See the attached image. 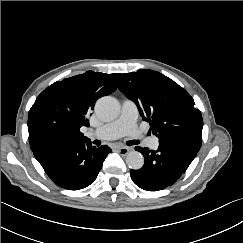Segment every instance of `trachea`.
Segmentation results:
<instances>
[{
    "label": "trachea",
    "instance_id": "obj_1",
    "mask_svg": "<svg viewBox=\"0 0 243 243\" xmlns=\"http://www.w3.org/2000/svg\"><path fill=\"white\" fill-rule=\"evenodd\" d=\"M137 144H139L138 140H130V141H128V145H137Z\"/></svg>",
    "mask_w": 243,
    "mask_h": 243
}]
</instances>
